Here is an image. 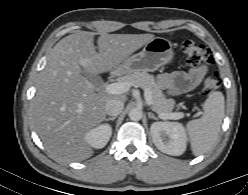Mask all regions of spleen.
Masks as SVG:
<instances>
[{"mask_svg":"<svg viewBox=\"0 0 248 195\" xmlns=\"http://www.w3.org/2000/svg\"><path fill=\"white\" fill-rule=\"evenodd\" d=\"M224 96L215 91L203 104V115L187 123L192 152L195 156L208 152L215 144L224 117Z\"/></svg>","mask_w":248,"mask_h":195,"instance_id":"obj_1","label":"spleen"}]
</instances>
